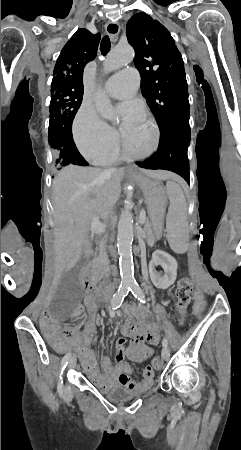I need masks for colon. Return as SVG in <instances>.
Instances as JSON below:
<instances>
[{
    "mask_svg": "<svg viewBox=\"0 0 241 450\" xmlns=\"http://www.w3.org/2000/svg\"><path fill=\"white\" fill-rule=\"evenodd\" d=\"M191 292H192V282L189 277H184L180 280L179 286L176 292L177 300L176 302H180L178 304V311L183 316L187 317L189 308L187 304L189 305L190 300L192 306H194L193 311L197 317H202L204 315L205 306H208L209 299L208 297H203L202 292L200 290H197L195 292L194 297L191 299ZM187 302V304L185 303ZM76 312L78 315H83L85 312L84 307L79 306L76 309ZM185 322V321H184ZM153 367H159V357H154Z\"/></svg>",
    "mask_w": 241,
    "mask_h": 450,
    "instance_id": "colon-1",
    "label": "colon"
}]
</instances>
